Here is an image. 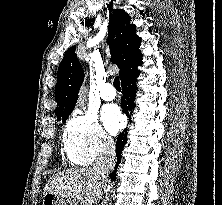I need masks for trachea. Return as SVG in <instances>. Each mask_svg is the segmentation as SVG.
I'll use <instances>...</instances> for the list:
<instances>
[{
	"label": "trachea",
	"mask_w": 222,
	"mask_h": 205,
	"mask_svg": "<svg viewBox=\"0 0 222 205\" xmlns=\"http://www.w3.org/2000/svg\"><path fill=\"white\" fill-rule=\"evenodd\" d=\"M113 85L117 90H121L119 77H116L113 81Z\"/></svg>",
	"instance_id": "1"
}]
</instances>
